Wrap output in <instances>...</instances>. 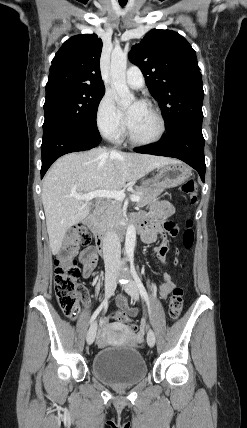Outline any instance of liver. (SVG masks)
Listing matches in <instances>:
<instances>
[{
  "label": "liver",
  "instance_id": "liver-1",
  "mask_svg": "<svg viewBox=\"0 0 247 428\" xmlns=\"http://www.w3.org/2000/svg\"><path fill=\"white\" fill-rule=\"evenodd\" d=\"M180 161L163 156L113 152L94 148L59 158L48 170L42 186L49 245L56 255L73 225L90 213L91 204L72 194L84 195L96 190H120L155 168Z\"/></svg>",
  "mask_w": 247,
  "mask_h": 428
}]
</instances>
